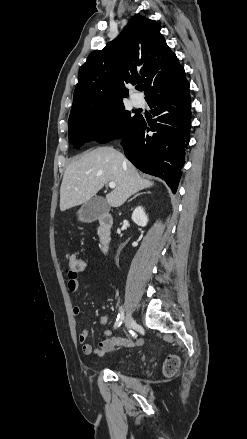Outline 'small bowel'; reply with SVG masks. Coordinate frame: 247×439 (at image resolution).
Returning a JSON list of instances; mask_svg holds the SVG:
<instances>
[{"instance_id": "obj_1", "label": "small bowel", "mask_w": 247, "mask_h": 439, "mask_svg": "<svg viewBox=\"0 0 247 439\" xmlns=\"http://www.w3.org/2000/svg\"><path fill=\"white\" fill-rule=\"evenodd\" d=\"M68 289L72 292H76L79 289L78 273L71 270L68 271ZM81 308L79 306H74L72 313L75 317L80 316ZM108 321V315H103L99 324L104 325ZM90 336V330L88 328H83L79 333V341L82 344V350L86 355H94L98 357L104 356L106 353L110 352L115 346L118 345H135L139 344L140 341H127L121 338L113 337L112 331L106 329L103 331L104 340L101 341L98 346L94 347L87 343V339Z\"/></svg>"}]
</instances>
